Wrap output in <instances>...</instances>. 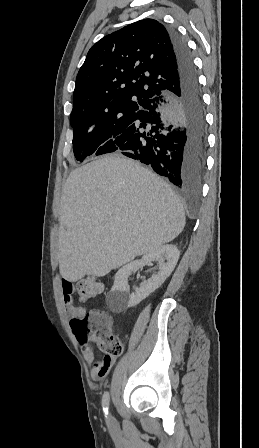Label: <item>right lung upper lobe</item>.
I'll use <instances>...</instances> for the list:
<instances>
[{"instance_id": "right-lung-upper-lobe-1", "label": "right lung upper lobe", "mask_w": 259, "mask_h": 448, "mask_svg": "<svg viewBox=\"0 0 259 448\" xmlns=\"http://www.w3.org/2000/svg\"><path fill=\"white\" fill-rule=\"evenodd\" d=\"M178 85L166 28L157 20L143 19L91 47L76 78L71 115L143 106Z\"/></svg>"}]
</instances>
